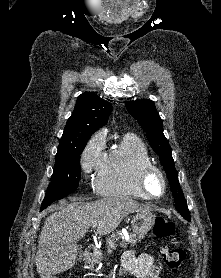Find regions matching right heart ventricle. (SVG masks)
<instances>
[{
	"instance_id": "e07e8e85",
	"label": "right heart ventricle",
	"mask_w": 221,
	"mask_h": 278,
	"mask_svg": "<svg viewBox=\"0 0 221 278\" xmlns=\"http://www.w3.org/2000/svg\"><path fill=\"white\" fill-rule=\"evenodd\" d=\"M145 163H151L146 144L136 135H126L118 146L105 153L96 172L97 191L104 196L147 199L135 180L137 168Z\"/></svg>"
}]
</instances>
